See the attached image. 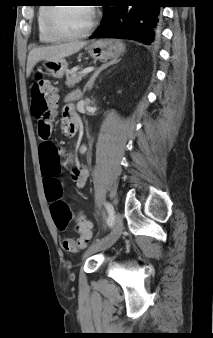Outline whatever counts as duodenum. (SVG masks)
Instances as JSON below:
<instances>
[{
	"mask_svg": "<svg viewBox=\"0 0 213 338\" xmlns=\"http://www.w3.org/2000/svg\"><path fill=\"white\" fill-rule=\"evenodd\" d=\"M78 128V121L76 118H72V120L70 121L69 125H68V132L69 134H74L76 132Z\"/></svg>",
	"mask_w": 213,
	"mask_h": 338,
	"instance_id": "410a0bca",
	"label": "duodenum"
}]
</instances>
